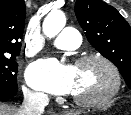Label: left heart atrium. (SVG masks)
<instances>
[{
    "mask_svg": "<svg viewBox=\"0 0 131 115\" xmlns=\"http://www.w3.org/2000/svg\"><path fill=\"white\" fill-rule=\"evenodd\" d=\"M27 81L52 94H69L75 86V67L62 66L54 59L40 60L28 68Z\"/></svg>",
    "mask_w": 131,
    "mask_h": 115,
    "instance_id": "left-heart-atrium-1",
    "label": "left heart atrium"
}]
</instances>
